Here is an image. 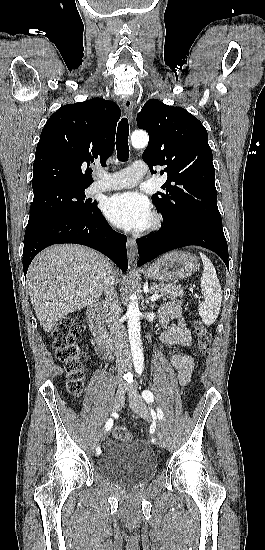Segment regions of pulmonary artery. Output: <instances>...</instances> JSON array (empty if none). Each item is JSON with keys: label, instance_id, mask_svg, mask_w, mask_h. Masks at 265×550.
<instances>
[{"label": "pulmonary artery", "instance_id": "1", "mask_svg": "<svg viewBox=\"0 0 265 550\" xmlns=\"http://www.w3.org/2000/svg\"><path fill=\"white\" fill-rule=\"evenodd\" d=\"M144 162L135 161L126 169L114 173L108 180H99L94 182L88 188L89 193L95 194L99 192L119 190L131 188L138 184L139 180L146 174ZM99 177H103L98 174Z\"/></svg>", "mask_w": 265, "mask_h": 550}]
</instances>
